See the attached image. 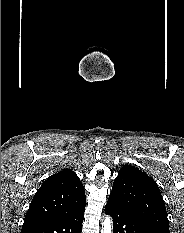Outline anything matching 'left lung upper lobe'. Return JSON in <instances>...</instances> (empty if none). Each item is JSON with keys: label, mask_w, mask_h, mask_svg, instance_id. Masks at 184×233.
Masks as SVG:
<instances>
[{"label": "left lung upper lobe", "mask_w": 184, "mask_h": 233, "mask_svg": "<svg viewBox=\"0 0 184 233\" xmlns=\"http://www.w3.org/2000/svg\"><path fill=\"white\" fill-rule=\"evenodd\" d=\"M109 199L126 209L150 233H169L165 203L158 185L138 168L125 165L120 169Z\"/></svg>", "instance_id": "obj_1"}]
</instances>
